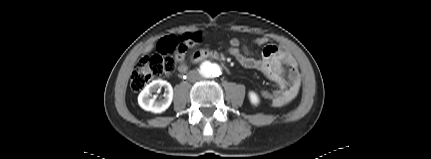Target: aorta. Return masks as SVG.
Segmentation results:
<instances>
[{
  "mask_svg": "<svg viewBox=\"0 0 431 159\" xmlns=\"http://www.w3.org/2000/svg\"><path fill=\"white\" fill-rule=\"evenodd\" d=\"M221 73V67L218 64L210 61L204 62L200 68V74L205 79H214L220 76Z\"/></svg>",
  "mask_w": 431,
  "mask_h": 159,
  "instance_id": "1",
  "label": "aorta"
}]
</instances>
